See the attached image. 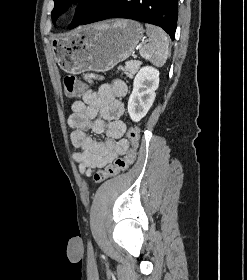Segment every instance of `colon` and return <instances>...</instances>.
<instances>
[{
	"label": "colon",
	"instance_id": "obj_1",
	"mask_svg": "<svg viewBox=\"0 0 247 280\" xmlns=\"http://www.w3.org/2000/svg\"><path fill=\"white\" fill-rule=\"evenodd\" d=\"M93 73H85L83 78L74 75H67L63 80L64 94L67 98L80 97L87 88V82L96 79ZM127 138L130 144L129 149L123 157L115 159L105 168L94 174V180L101 183L109 178H112L122 172H125L136 160L137 151L140 144V129L137 126H132L127 132Z\"/></svg>",
	"mask_w": 247,
	"mask_h": 280
}]
</instances>
